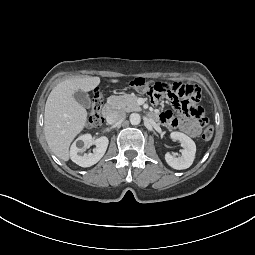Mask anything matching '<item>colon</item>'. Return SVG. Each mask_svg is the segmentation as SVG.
Segmentation results:
<instances>
[{
	"instance_id": "colon-1",
	"label": "colon",
	"mask_w": 255,
	"mask_h": 255,
	"mask_svg": "<svg viewBox=\"0 0 255 255\" xmlns=\"http://www.w3.org/2000/svg\"><path fill=\"white\" fill-rule=\"evenodd\" d=\"M130 87L140 92L146 93L153 101L167 97L184 115L194 118L204 125L202 139L210 140L213 136V127L204 110L197 103L200 98V89L193 84L183 83H153L143 77H136L130 82ZM104 100L99 90H95L91 107L88 113L87 125L90 128H96L102 125L104 117L102 108Z\"/></svg>"
}]
</instances>
